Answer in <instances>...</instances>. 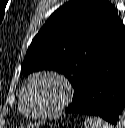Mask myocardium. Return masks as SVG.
<instances>
[{
    "label": "myocardium",
    "instance_id": "obj_1",
    "mask_svg": "<svg viewBox=\"0 0 125 128\" xmlns=\"http://www.w3.org/2000/svg\"><path fill=\"white\" fill-rule=\"evenodd\" d=\"M37 80H50L54 82L58 86L60 94L57 102L50 109L38 113H31L27 111L25 108V96L34 84V82H36ZM72 93L73 90L71 83L64 75L57 73L55 71H39L33 73L28 78L24 87L22 88L20 94V110L26 117L30 119L52 118L59 114L69 105L72 98Z\"/></svg>",
    "mask_w": 125,
    "mask_h": 128
}]
</instances>
